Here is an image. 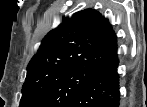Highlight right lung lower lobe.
I'll return each instance as SVG.
<instances>
[{
  "instance_id": "1",
  "label": "right lung lower lobe",
  "mask_w": 147,
  "mask_h": 107,
  "mask_svg": "<svg viewBox=\"0 0 147 107\" xmlns=\"http://www.w3.org/2000/svg\"><path fill=\"white\" fill-rule=\"evenodd\" d=\"M118 63L117 55H115L64 107H119Z\"/></svg>"
}]
</instances>
